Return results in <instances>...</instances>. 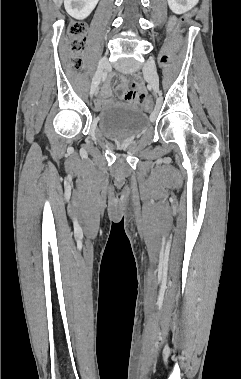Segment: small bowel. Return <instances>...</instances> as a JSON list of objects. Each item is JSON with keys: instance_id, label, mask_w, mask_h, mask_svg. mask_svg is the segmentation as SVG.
<instances>
[{"instance_id": "obj_1", "label": "small bowel", "mask_w": 241, "mask_h": 379, "mask_svg": "<svg viewBox=\"0 0 241 379\" xmlns=\"http://www.w3.org/2000/svg\"><path fill=\"white\" fill-rule=\"evenodd\" d=\"M128 87L130 89H128ZM138 84L136 81H126L125 79L121 80L119 84V90L122 91V98L130 104H142V99L145 98V92L143 89H137ZM110 95V88L106 85L100 95L97 97L95 101V109L101 110L105 105V98Z\"/></svg>"}]
</instances>
